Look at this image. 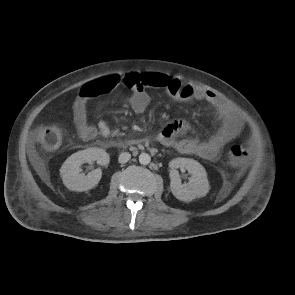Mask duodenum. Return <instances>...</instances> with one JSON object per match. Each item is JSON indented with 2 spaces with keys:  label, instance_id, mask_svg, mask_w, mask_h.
I'll list each match as a JSON object with an SVG mask.
<instances>
[{
  "label": "duodenum",
  "instance_id": "410a0bca",
  "mask_svg": "<svg viewBox=\"0 0 295 295\" xmlns=\"http://www.w3.org/2000/svg\"><path fill=\"white\" fill-rule=\"evenodd\" d=\"M134 143H121V142H116V141H113V142H110L109 143V146L110 147H127V146H130Z\"/></svg>",
  "mask_w": 295,
  "mask_h": 295
}]
</instances>
